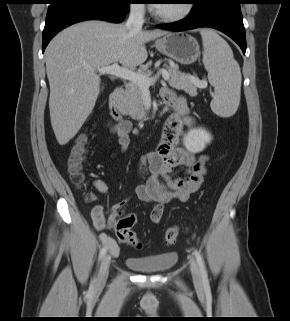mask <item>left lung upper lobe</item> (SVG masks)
Segmentation results:
<instances>
[{"instance_id":"obj_1","label":"left lung upper lobe","mask_w":290,"mask_h":321,"mask_svg":"<svg viewBox=\"0 0 290 321\" xmlns=\"http://www.w3.org/2000/svg\"><path fill=\"white\" fill-rule=\"evenodd\" d=\"M204 1H206V0H190V2L192 3V4H194V6H198V5H200L202 2H204Z\"/></svg>"}]
</instances>
